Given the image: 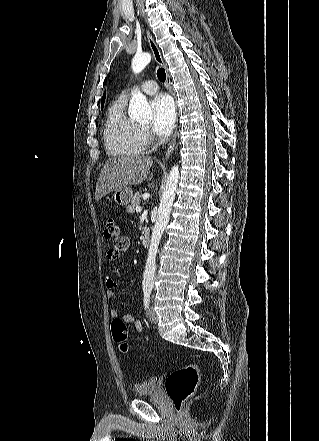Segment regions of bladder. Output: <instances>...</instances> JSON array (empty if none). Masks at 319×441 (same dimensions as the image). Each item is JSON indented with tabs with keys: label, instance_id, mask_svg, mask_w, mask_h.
<instances>
[{
	"label": "bladder",
	"instance_id": "1",
	"mask_svg": "<svg viewBox=\"0 0 319 441\" xmlns=\"http://www.w3.org/2000/svg\"><path fill=\"white\" fill-rule=\"evenodd\" d=\"M134 395L138 398L154 397L158 394V380L156 377L141 381L133 387Z\"/></svg>",
	"mask_w": 319,
	"mask_h": 441
}]
</instances>
